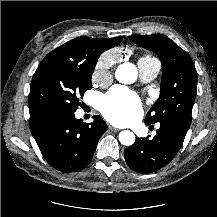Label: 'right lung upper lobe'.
<instances>
[{
  "instance_id": "obj_1",
  "label": "right lung upper lobe",
  "mask_w": 217,
  "mask_h": 217,
  "mask_svg": "<svg viewBox=\"0 0 217 217\" xmlns=\"http://www.w3.org/2000/svg\"><path fill=\"white\" fill-rule=\"evenodd\" d=\"M121 40L122 37L112 39L78 37L56 48L47 56L79 64L96 65L100 54L117 46Z\"/></svg>"
}]
</instances>
